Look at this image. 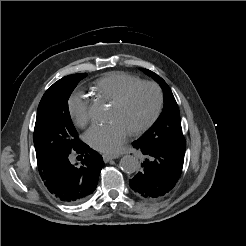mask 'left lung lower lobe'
I'll use <instances>...</instances> for the list:
<instances>
[{"label":"left lung lower lobe","instance_id":"left-lung-lower-lobe-1","mask_svg":"<svg viewBox=\"0 0 246 246\" xmlns=\"http://www.w3.org/2000/svg\"><path fill=\"white\" fill-rule=\"evenodd\" d=\"M132 144L146 159L140 172L130 180V187L143 199L154 200L165 196L181 175L185 148L146 145L138 141Z\"/></svg>","mask_w":246,"mask_h":246}]
</instances>
